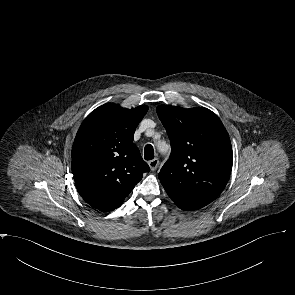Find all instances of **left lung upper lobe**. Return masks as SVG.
<instances>
[{
    "label": "left lung upper lobe",
    "instance_id": "1",
    "mask_svg": "<svg viewBox=\"0 0 295 295\" xmlns=\"http://www.w3.org/2000/svg\"><path fill=\"white\" fill-rule=\"evenodd\" d=\"M156 110L172 151L159 179L179 208L200 209L220 195L231 174L229 135L207 108L160 105Z\"/></svg>",
    "mask_w": 295,
    "mask_h": 295
}]
</instances>
